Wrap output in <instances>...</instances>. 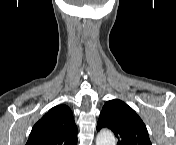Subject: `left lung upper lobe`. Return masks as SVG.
<instances>
[{
	"instance_id": "5c2ea615",
	"label": "left lung upper lobe",
	"mask_w": 176,
	"mask_h": 145,
	"mask_svg": "<svg viewBox=\"0 0 176 145\" xmlns=\"http://www.w3.org/2000/svg\"><path fill=\"white\" fill-rule=\"evenodd\" d=\"M111 129L119 139L118 145H151L148 131L136 112L123 101L113 99L105 103L97 123V130Z\"/></svg>"
}]
</instances>
